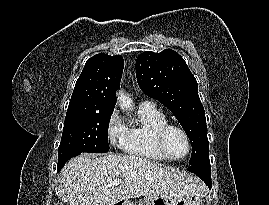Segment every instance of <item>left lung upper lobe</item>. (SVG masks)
Listing matches in <instances>:
<instances>
[{
  "label": "left lung upper lobe",
  "mask_w": 269,
  "mask_h": 205,
  "mask_svg": "<svg viewBox=\"0 0 269 205\" xmlns=\"http://www.w3.org/2000/svg\"><path fill=\"white\" fill-rule=\"evenodd\" d=\"M136 77L141 90L178 119L192 142L190 165L209 157L205 111L185 60L172 49L143 52L136 61Z\"/></svg>",
  "instance_id": "1"
}]
</instances>
